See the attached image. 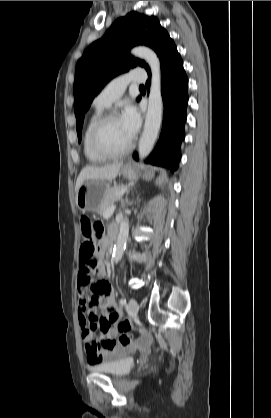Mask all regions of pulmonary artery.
<instances>
[{"label": "pulmonary artery", "mask_w": 271, "mask_h": 418, "mask_svg": "<svg viewBox=\"0 0 271 418\" xmlns=\"http://www.w3.org/2000/svg\"><path fill=\"white\" fill-rule=\"evenodd\" d=\"M146 80V74L141 69L132 70L126 74L120 75L111 80L95 97L93 104L99 108H108L111 104L119 99L127 84L143 83Z\"/></svg>", "instance_id": "pulmonary-artery-1"}]
</instances>
